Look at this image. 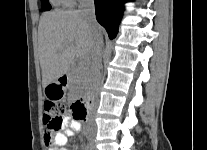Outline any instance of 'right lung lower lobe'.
Instances as JSON below:
<instances>
[{
	"label": "right lung lower lobe",
	"instance_id": "right-lung-lower-lobe-1",
	"mask_svg": "<svg viewBox=\"0 0 207 150\" xmlns=\"http://www.w3.org/2000/svg\"><path fill=\"white\" fill-rule=\"evenodd\" d=\"M96 18L106 29L110 39H113L118 31V25L127 0H94Z\"/></svg>",
	"mask_w": 207,
	"mask_h": 150
}]
</instances>
